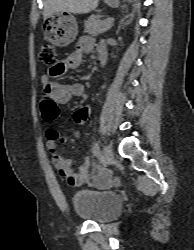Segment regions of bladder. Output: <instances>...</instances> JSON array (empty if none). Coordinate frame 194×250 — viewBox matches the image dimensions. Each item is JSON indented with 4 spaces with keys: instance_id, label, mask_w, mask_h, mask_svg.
<instances>
[{
    "instance_id": "1",
    "label": "bladder",
    "mask_w": 194,
    "mask_h": 250,
    "mask_svg": "<svg viewBox=\"0 0 194 250\" xmlns=\"http://www.w3.org/2000/svg\"><path fill=\"white\" fill-rule=\"evenodd\" d=\"M71 200L79 218L97 223L114 219L122 209V199L110 191L80 189L73 193Z\"/></svg>"
}]
</instances>
